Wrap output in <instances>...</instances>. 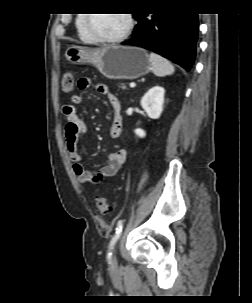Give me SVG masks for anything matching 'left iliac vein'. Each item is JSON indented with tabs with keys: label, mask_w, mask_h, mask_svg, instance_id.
Returning a JSON list of instances; mask_svg holds the SVG:
<instances>
[{
	"label": "left iliac vein",
	"mask_w": 252,
	"mask_h": 303,
	"mask_svg": "<svg viewBox=\"0 0 252 303\" xmlns=\"http://www.w3.org/2000/svg\"><path fill=\"white\" fill-rule=\"evenodd\" d=\"M114 253H116V248H114ZM112 262L116 263V256L115 255L112 258Z\"/></svg>",
	"instance_id": "left-iliac-vein-1"
}]
</instances>
